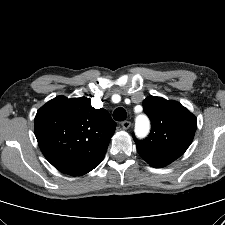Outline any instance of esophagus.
Wrapping results in <instances>:
<instances>
[{
    "label": "esophagus",
    "instance_id": "obj_1",
    "mask_svg": "<svg viewBox=\"0 0 225 225\" xmlns=\"http://www.w3.org/2000/svg\"><path fill=\"white\" fill-rule=\"evenodd\" d=\"M121 125H122V128L126 130V129H129L131 127V122L130 121H123L121 123Z\"/></svg>",
    "mask_w": 225,
    "mask_h": 225
}]
</instances>
